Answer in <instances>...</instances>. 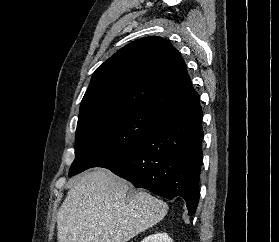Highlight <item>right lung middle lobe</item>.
<instances>
[{"instance_id":"1","label":"right lung middle lobe","mask_w":279,"mask_h":242,"mask_svg":"<svg viewBox=\"0 0 279 242\" xmlns=\"http://www.w3.org/2000/svg\"><path fill=\"white\" fill-rule=\"evenodd\" d=\"M158 116L155 112L125 109L79 117L69 176L100 167L135 146L155 128Z\"/></svg>"}]
</instances>
